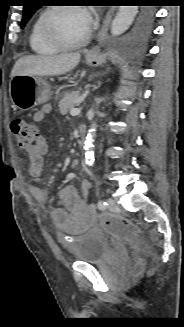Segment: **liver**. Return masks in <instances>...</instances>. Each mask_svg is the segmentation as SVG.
I'll return each mask as SVG.
<instances>
[{
    "label": "liver",
    "instance_id": "1",
    "mask_svg": "<svg viewBox=\"0 0 184 327\" xmlns=\"http://www.w3.org/2000/svg\"><path fill=\"white\" fill-rule=\"evenodd\" d=\"M80 53L54 56L29 55L18 59L11 71V78L18 74L55 76L74 69L80 61Z\"/></svg>",
    "mask_w": 184,
    "mask_h": 327
}]
</instances>
